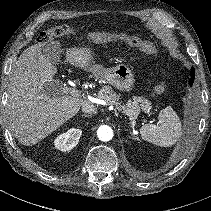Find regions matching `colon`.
I'll list each match as a JSON object with an SVG mask.
<instances>
[{
    "label": "colon",
    "instance_id": "obj_1",
    "mask_svg": "<svg viewBox=\"0 0 211 211\" xmlns=\"http://www.w3.org/2000/svg\"><path fill=\"white\" fill-rule=\"evenodd\" d=\"M72 33L73 31L69 26L66 25L56 26L54 28L41 32L38 35L36 42L39 45H45L48 42H50L54 37L68 36L71 35ZM165 90H166V84L159 83L158 85L155 86L153 90V95L159 96L163 94Z\"/></svg>",
    "mask_w": 211,
    "mask_h": 211
}]
</instances>
